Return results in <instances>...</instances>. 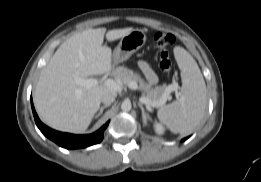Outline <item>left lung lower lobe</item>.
Masks as SVG:
<instances>
[{
	"mask_svg": "<svg viewBox=\"0 0 261 182\" xmlns=\"http://www.w3.org/2000/svg\"><path fill=\"white\" fill-rule=\"evenodd\" d=\"M188 138V137H187ZM187 138H184L182 141H185Z\"/></svg>",
	"mask_w": 261,
	"mask_h": 182,
	"instance_id": "obj_1",
	"label": "left lung lower lobe"
}]
</instances>
